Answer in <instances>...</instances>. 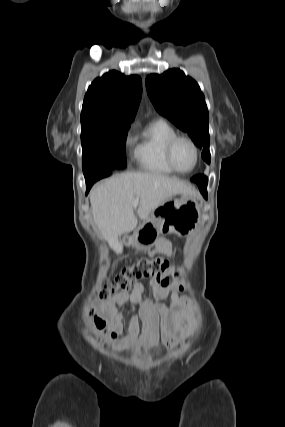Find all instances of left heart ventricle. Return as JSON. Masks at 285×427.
Returning a JSON list of instances; mask_svg holds the SVG:
<instances>
[{
  "label": "left heart ventricle",
  "instance_id": "obj_1",
  "mask_svg": "<svg viewBox=\"0 0 285 427\" xmlns=\"http://www.w3.org/2000/svg\"><path fill=\"white\" fill-rule=\"evenodd\" d=\"M173 158L180 170H190L195 162L193 147L187 141H179L174 148Z\"/></svg>",
  "mask_w": 285,
  "mask_h": 427
}]
</instances>
